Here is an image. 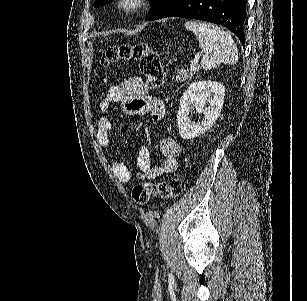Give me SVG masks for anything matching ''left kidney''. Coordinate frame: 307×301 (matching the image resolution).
Here are the masks:
<instances>
[{
	"label": "left kidney",
	"instance_id": "1",
	"mask_svg": "<svg viewBox=\"0 0 307 301\" xmlns=\"http://www.w3.org/2000/svg\"><path fill=\"white\" fill-rule=\"evenodd\" d=\"M225 86L217 80H196L191 82L180 98L177 122L181 138H196L204 134L217 120L223 106ZM208 104V106H205ZM191 106L196 112H203V120H191Z\"/></svg>",
	"mask_w": 307,
	"mask_h": 301
}]
</instances>
